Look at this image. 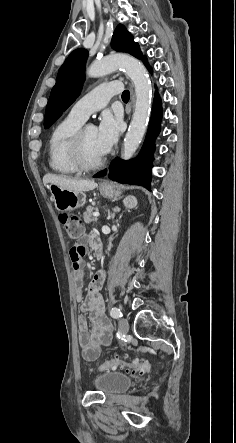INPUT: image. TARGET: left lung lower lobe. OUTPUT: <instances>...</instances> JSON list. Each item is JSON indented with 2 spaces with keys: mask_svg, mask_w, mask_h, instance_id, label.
<instances>
[{
  "mask_svg": "<svg viewBox=\"0 0 236 443\" xmlns=\"http://www.w3.org/2000/svg\"><path fill=\"white\" fill-rule=\"evenodd\" d=\"M142 60L147 69L152 72L146 57H143ZM161 117V100L156 93L147 136L139 156L132 161H123L116 158L109 166V178L111 180L119 183L141 185L147 189H150L151 163L153 161V152L155 149L154 140L160 132ZM106 172L107 170L99 172L95 175V177L104 176Z\"/></svg>",
  "mask_w": 236,
  "mask_h": 443,
  "instance_id": "1",
  "label": "left lung lower lobe"
}]
</instances>
